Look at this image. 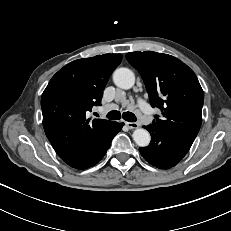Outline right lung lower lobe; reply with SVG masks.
Returning a JSON list of instances; mask_svg holds the SVG:
<instances>
[{
    "label": "right lung lower lobe",
    "mask_w": 231,
    "mask_h": 231,
    "mask_svg": "<svg viewBox=\"0 0 231 231\" xmlns=\"http://www.w3.org/2000/svg\"><path fill=\"white\" fill-rule=\"evenodd\" d=\"M123 123H117L115 122L114 126L112 127L108 137L98 143L96 146L92 148V150L89 152L87 157L77 166L73 167L76 169H86L89 167H92L96 163H98L106 154L108 148L110 147L111 141L113 137L120 132L121 128L123 127Z\"/></svg>",
    "instance_id": "1"
}]
</instances>
